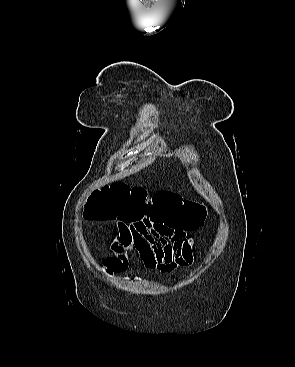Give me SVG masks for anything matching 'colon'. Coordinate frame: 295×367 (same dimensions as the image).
Wrapping results in <instances>:
<instances>
[{
  "instance_id": "colon-1",
  "label": "colon",
  "mask_w": 295,
  "mask_h": 367,
  "mask_svg": "<svg viewBox=\"0 0 295 367\" xmlns=\"http://www.w3.org/2000/svg\"><path fill=\"white\" fill-rule=\"evenodd\" d=\"M85 216L91 220L124 222L164 220L193 231L203 224L206 208L174 193L160 191L149 198L143 188L114 183L93 192Z\"/></svg>"
}]
</instances>
